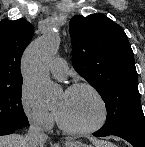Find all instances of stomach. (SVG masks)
<instances>
[{"instance_id": "0dacf381", "label": "stomach", "mask_w": 145, "mask_h": 147, "mask_svg": "<svg viewBox=\"0 0 145 147\" xmlns=\"http://www.w3.org/2000/svg\"><path fill=\"white\" fill-rule=\"evenodd\" d=\"M65 147H92L78 141L68 142Z\"/></svg>"}]
</instances>
